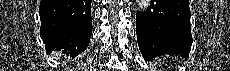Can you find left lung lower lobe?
I'll return each instance as SVG.
<instances>
[{
	"mask_svg": "<svg viewBox=\"0 0 230 71\" xmlns=\"http://www.w3.org/2000/svg\"><path fill=\"white\" fill-rule=\"evenodd\" d=\"M136 34L145 60L163 54L187 58L192 45L188 0H151L136 14Z\"/></svg>",
	"mask_w": 230,
	"mask_h": 71,
	"instance_id": "obj_1",
	"label": "left lung lower lobe"
}]
</instances>
